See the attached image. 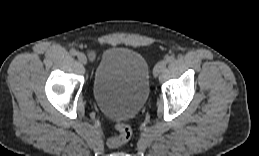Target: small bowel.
<instances>
[{"label": "small bowel", "mask_w": 259, "mask_h": 156, "mask_svg": "<svg viewBox=\"0 0 259 156\" xmlns=\"http://www.w3.org/2000/svg\"><path fill=\"white\" fill-rule=\"evenodd\" d=\"M89 56H90L91 59L95 58V54L93 52H90Z\"/></svg>", "instance_id": "small-bowel-1"}]
</instances>
